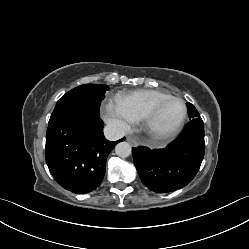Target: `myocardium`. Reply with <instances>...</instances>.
Here are the masks:
<instances>
[{
	"mask_svg": "<svg viewBox=\"0 0 249 249\" xmlns=\"http://www.w3.org/2000/svg\"><path fill=\"white\" fill-rule=\"evenodd\" d=\"M171 101H178L182 104V107H183L182 114L177 124L174 126V128L164 133H156L153 128V123L155 119L157 118L159 112L163 109V107ZM186 117H187V106H186L185 101L179 97L170 96L156 103L154 106H152L150 110L147 111L145 115L143 116L142 122H143L145 132L152 140L166 141L179 133V131L181 130L185 122Z\"/></svg>",
	"mask_w": 249,
	"mask_h": 249,
	"instance_id": "f54148a6",
	"label": "myocardium"
}]
</instances>
